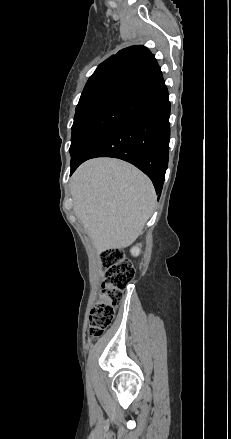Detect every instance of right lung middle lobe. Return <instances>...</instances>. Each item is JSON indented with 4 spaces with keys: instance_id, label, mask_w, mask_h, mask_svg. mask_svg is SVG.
Wrapping results in <instances>:
<instances>
[{
    "instance_id": "obj_1",
    "label": "right lung middle lobe",
    "mask_w": 231,
    "mask_h": 439,
    "mask_svg": "<svg viewBox=\"0 0 231 439\" xmlns=\"http://www.w3.org/2000/svg\"><path fill=\"white\" fill-rule=\"evenodd\" d=\"M140 113L135 94L108 95L77 106L69 149L71 162L79 159L103 131Z\"/></svg>"
}]
</instances>
